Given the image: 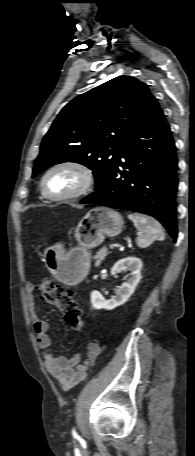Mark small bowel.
I'll list each match as a JSON object with an SVG mask.
<instances>
[{"mask_svg": "<svg viewBox=\"0 0 195 456\" xmlns=\"http://www.w3.org/2000/svg\"><path fill=\"white\" fill-rule=\"evenodd\" d=\"M26 293L36 341L43 351L45 368L58 381L61 390L67 392L86 378L87 369L95 363L102 347L99 343H90L87 346L85 355L76 354L72 358H66L51 352L49 350L51 346L49 324L39 319L35 313L34 286L31 283L26 285Z\"/></svg>", "mask_w": 195, "mask_h": 456, "instance_id": "small-bowel-1", "label": "small bowel"}]
</instances>
